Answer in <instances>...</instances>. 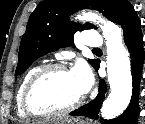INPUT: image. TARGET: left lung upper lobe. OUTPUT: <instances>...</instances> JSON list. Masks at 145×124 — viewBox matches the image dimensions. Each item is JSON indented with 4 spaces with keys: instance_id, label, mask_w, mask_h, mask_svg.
Listing matches in <instances>:
<instances>
[{
    "instance_id": "obj_1",
    "label": "left lung upper lobe",
    "mask_w": 145,
    "mask_h": 124,
    "mask_svg": "<svg viewBox=\"0 0 145 124\" xmlns=\"http://www.w3.org/2000/svg\"><path fill=\"white\" fill-rule=\"evenodd\" d=\"M132 5L128 0H44L30 15L20 48L15 75L22 74L40 56L66 46H74L73 36L81 29L96 28L67 18L81 9H94L118 23ZM96 68L98 60H89Z\"/></svg>"
}]
</instances>
